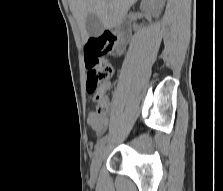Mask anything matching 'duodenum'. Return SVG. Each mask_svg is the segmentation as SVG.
Returning <instances> with one entry per match:
<instances>
[{
    "label": "duodenum",
    "instance_id": "duodenum-1",
    "mask_svg": "<svg viewBox=\"0 0 223 191\" xmlns=\"http://www.w3.org/2000/svg\"><path fill=\"white\" fill-rule=\"evenodd\" d=\"M118 32L123 35L127 36L129 33V25L128 22L124 19L118 25Z\"/></svg>",
    "mask_w": 223,
    "mask_h": 191
}]
</instances>
